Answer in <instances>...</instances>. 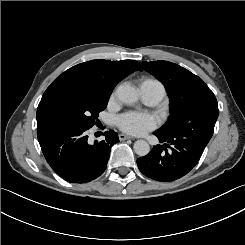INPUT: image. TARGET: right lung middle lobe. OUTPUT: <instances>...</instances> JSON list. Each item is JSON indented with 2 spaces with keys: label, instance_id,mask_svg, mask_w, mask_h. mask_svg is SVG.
Returning a JSON list of instances; mask_svg holds the SVG:
<instances>
[{
  "label": "right lung middle lobe",
  "instance_id": "obj_1",
  "mask_svg": "<svg viewBox=\"0 0 245 245\" xmlns=\"http://www.w3.org/2000/svg\"><path fill=\"white\" fill-rule=\"evenodd\" d=\"M110 93L72 79H56L37 109V129L54 126L91 128L107 107Z\"/></svg>",
  "mask_w": 245,
  "mask_h": 245
}]
</instances>
